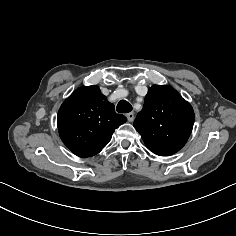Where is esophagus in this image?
Instances as JSON below:
<instances>
[{"mask_svg":"<svg viewBox=\"0 0 236 236\" xmlns=\"http://www.w3.org/2000/svg\"><path fill=\"white\" fill-rule=\"evenodd\" d=\"M126 117L129 122H132L134 120V113L133 112L127 113Z\"/></svg>","mask_w":236,"mask_h":236,"instance_id":"esophagus-1","label":"esophagus"}]
</instances>
